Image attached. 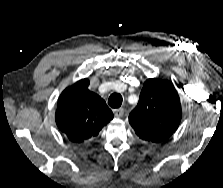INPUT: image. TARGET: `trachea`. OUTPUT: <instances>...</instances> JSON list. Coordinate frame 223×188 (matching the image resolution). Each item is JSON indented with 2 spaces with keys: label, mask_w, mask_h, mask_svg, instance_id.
<instances>
[{
  "label": "trachea",
  "mask_w": 223,
  "mask_h": 188,
  "mask_svg": "<svg viewBox=\"0 0 223 188\" xmlns=\"http://www.w3.org/2000/svg\"><path fill=\"white\" fill-rule=\"evenodd\" d=\"M123 98L120 94L113 93L108 99V104L112 108H119L122 104Z\"/></svg>",
  "instance_id": "obj_1"
}]
</instances>
